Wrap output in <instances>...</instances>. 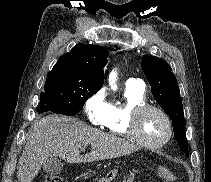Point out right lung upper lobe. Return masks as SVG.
I'll use <instances>...</instances> for the list:
<instances>
[{"label":"right lung upper lobe","mask_w":211,"mask_h":182,"mask_svg":"<svg viewBox=\"0 0 211 182\" xmlns=\"http://www.w3.org/2000/svg\"><path fill=\"white\" fill-rule=\"evenodd\" d=\"M108 56V50L102 46L80 43L63 54L51 72H63L79 81L102 87L103 67L108 62Z\"/></svg>","instance_id":"cb5924a9"}]
</instances>
